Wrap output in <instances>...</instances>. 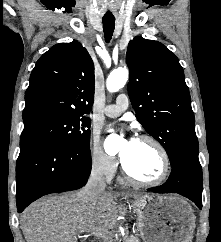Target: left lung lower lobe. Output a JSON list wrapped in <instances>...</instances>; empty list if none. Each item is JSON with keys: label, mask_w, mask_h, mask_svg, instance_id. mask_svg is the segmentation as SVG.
Segmentation results:
<instances>
[{"label": "left lung lower lobe", "mask_w": 221, "mask_h": 242, "mask_svg": "<svg viewBox=\"0 0 221 242\" xmlns=\"http://www.w3.org/2000/svg\"><path fill=\"white\" fill-rule=\"evenodd\" d=\"M202 168L198 154L182 156L174 165L168 180L161 186L149 188L155 193H178L202 208Z\"/></svg>", "instance_id": "1"}]
</instances>
